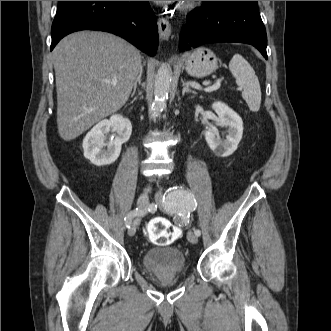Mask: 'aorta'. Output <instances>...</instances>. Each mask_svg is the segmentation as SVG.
Wrapping results in <instances>:
<instances>
[{
	"label": "aorta",
	"mask_w": 331,
	"mask_h": 331,
	"mask_svg": "<svg viewBox=\"0 0 331 331\" xmlns=\"http://www.w3.org/2000/svg\"><path fill=\"white\" fill-rule=\"evenodd\" d=\"M171 83V68L162 64L158 69L154 82V101L152 110L156 116L166 107Z\"/></svg>",
	"instance_id": "aorta-1"
}]
</instances>
